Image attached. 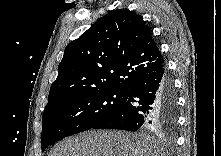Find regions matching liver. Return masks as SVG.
<instances>
[{
	"label": "liver",
	"mask_w": 221,
	"mask_h": 156,
	"mask_svg": "<svg viewBox=\"0 0 221 156\" xmlns=\"http://www.w3.org/2000/svg\"><path fill=\"white\" fill-rule=\"evenodd\" d=\"M153 137L124 131L90 130L60 141L50 156H163Z\"/></svg>",
	"instance_id": "liver-1"
}]
</instances>
